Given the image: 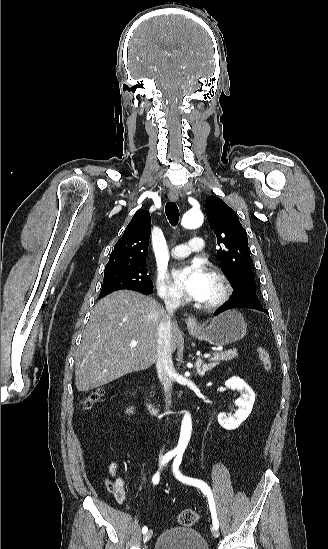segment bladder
Here are the masks:
<instances>
[{
	"instance_id": "1",
	"label": "bladder",
	"mask_w": 328,
	"mask_h": 549,
	"mask_svg": "<svg viewBox=\"0 0 328 549\" xmlns=\"http://www.w3.org/2000/svg\"><path fill=\"white\" fill-rule=\"evenodd\" d=\"M155 549H209L203 536L193 528H176L162 532Z\"/></svg>"
}]
</instances>
